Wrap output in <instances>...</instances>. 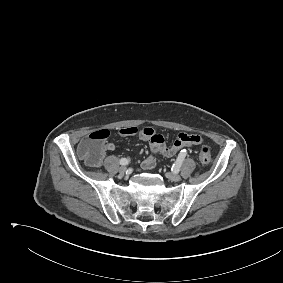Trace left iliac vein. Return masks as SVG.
<instances>
[{
	"instance_id": "obj_1",
	"label": "left iliac vein",
	"mask_w": 283,
	"mask_h": 283,
	"mask_svg": "<svg viewBox=\"0 0 283 283\" xmlns=\"http://www.w3.org/2000/svg\"><path fill=\"white\" fill-rule=\"evenodd\" d=\"M166 178L172 182H178L181 180V176L178 174H173V173H166L165 174Z\"/></svg>"
}]
</instances>
